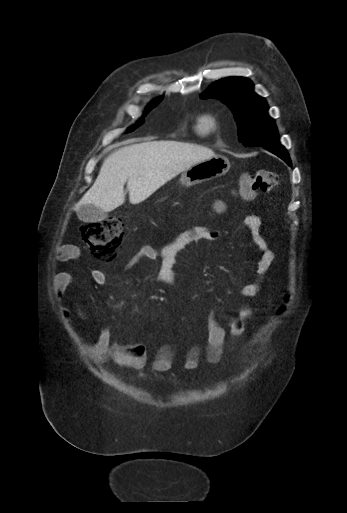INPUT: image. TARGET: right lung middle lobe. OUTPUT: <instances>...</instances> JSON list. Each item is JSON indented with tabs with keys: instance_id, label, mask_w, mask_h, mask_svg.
I'll use <instances>...</instances> for the list:
<instances>
[{
	"instance_id": "obj_1",
	"label": "right lung middle lobe",
	"mask_w": 347,
	"mask_h": 513,
	"mask_svg": "<svg viewBox=\"0 0 347 513\" xmlns=\"http://www.w3.org/2000/svg\"><path fill=\"white\" fill-rule=\"evenodd\" d=\"M162 100L161 99H157V100H154L152 103H150V105H148V107L146 108L145 112H144V117L148 114V112L154 108L158 103H160ZM144 123V118H141V120L138 121V123L132 127L128 132H131V131H134L137 127H139L140 125H142Z\"/></svg>"
}]
</instances>
